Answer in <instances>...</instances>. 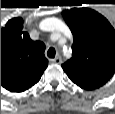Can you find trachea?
<instances>
[{
	"label": "trachea",
	"instance_id": "1",
	"mask_svg": "<svg viewBox=\"0 0 115 114\" xmlns=\"http://www.w3.org/2000/svg\"><path fill=\"white\" fill-rule=\"evenodd\" d=\"M55 54H56V51L53 47L49 48L48 52H47V56L49 58H54L55 57Z\"/></svg>",
	"mask_w": 115,
	"mask_h": 114
}]
</instances>
